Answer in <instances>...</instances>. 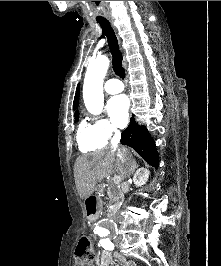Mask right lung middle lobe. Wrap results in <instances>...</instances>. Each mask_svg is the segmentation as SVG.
Wrapping results in <instances>:
<instances>
[{"label": "right lung middle lobe", "instance_id": "obj_1", "mask_svg": "<svg viewBox=\"0 0 221 266\" xmlns=\"http://www.w3.org/2000/svg\"><path fill=\"white\" fill-rule=\"evenodd\" d=\"M75 120H79V114L75 115Z\"/></svg>", "mask_w": 221, "mask_h": 266}]
</instances>
